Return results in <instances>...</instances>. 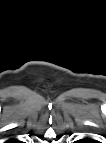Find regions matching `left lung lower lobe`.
Returning <instances> with one entry per match:
<instances>
[{
	"label": "left lung lower lobe",
	"instance_id": "obj_1",
	"mask_svg": "<svg viewBox=\"0 0 106 143\" xmlns=\"http://www.w3.org/2000/svg\"><path fill=\"white\" fill-rule=\"evenodd\" d=\"M84 141H85V142H89V141H90V139H85Z\"/></svg>",
	"mask_w": 106,
	"mask_h": 143
}]
</instances>
